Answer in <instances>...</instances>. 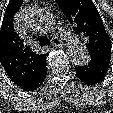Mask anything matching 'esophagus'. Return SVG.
<instances>
[{
    "instance_id": "obj_1",
    "label": "esophagus",
    "mask_w": 113,
    "mask_h": 113,
    "mask_svg": "<svg viewBox=\"0 0 113 113\" xmlns=\"http://www.w3.org/2000/svg\"><path fill=\"white\" fill-rule=\"evenodd\" d=\"M64 45L63 41L58 37L52 38V46L53 47H62Z\"/></svg>"
}]
</instances>
